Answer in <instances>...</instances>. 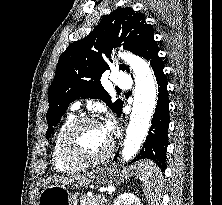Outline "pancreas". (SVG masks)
I'll list each match as a JSON object with an SVG mask.
<instances>
[{"mask_svg":"<svg viewBox=\"0 0 222 205\" xmlns=\"http://www.w3.org/2000/svg\"><path fill=\"white\" fill-rule=\"evenodd\" d=\"M105 198L101 196H82L80 198V205H104Z\"/></svg>","mask_w":222,"mask_h":205,"instance_id":"cf45deb5","label":"pancreas"}]
</instances>
